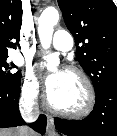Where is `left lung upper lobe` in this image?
Masks as SVG:
<instances>
[{
  "label": "left lung upper lobe",
  "mask_w": 117,
  "mask_h": 136,
  "mask_svg": "<svg viewBox=\"0 0 117 136\" xmlns=\"http://www.w3.org/2000/svg\"><path fill=\"white\" fill-rule=\"evenodd\" d=\"M77 59L95 92L117 81V9L112 0H58Z\"/></svg>",
  "instance_id": "obj_1"
}]
</instances>
